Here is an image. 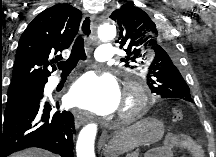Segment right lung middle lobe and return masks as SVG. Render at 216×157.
I'll return each instance as SVG.
<instances>
[{"instance_id":"obj_1","label":"right lung middle lobe","mask_w":216,"mask_h":157,"mask_svg":"<svg viewBox=\"0 0 216 157\" xmlns=\"http://www.w3.org/2000/svg\"><path fill=\"white\" fill-rule=\"evenodd\" d=\"M43 89H44V85H36V86H31V87L8 92L6 108L17 102L25 100L28 96L31 95L43 96Z\"/></svg>"}]
</instances>
